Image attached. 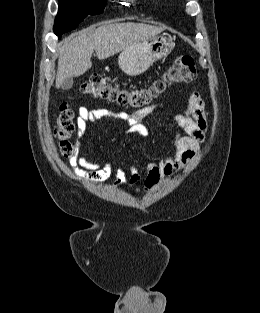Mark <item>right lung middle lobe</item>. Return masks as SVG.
<instances>
[{
	"label": "right lung middle lobe",
	"instance_id": "obj_1",
	"mask_svg": "<svg viewBox=\"0 0 260 313\" xmlns=\"http://www.w3.org/2000/svg\"><path fill=\"white\" fill-rule=\"evenodd\" d=\"M59 11L55 18L54 33L61 37L75 29L88 15L101 14L106 6L104 0H59Z\"/></svg>",
	"mask_w": 260,
	"mask_h": 313
}]
</instances>
